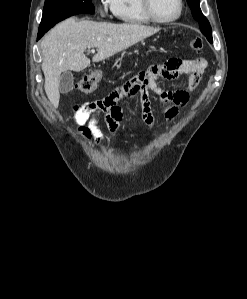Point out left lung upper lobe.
Wrapping results in <instances>:
<instances>
[{
	"label": "left lung upper lobe",
	"instance_id": "left-lung-upper-lobe-1",
	"mask_svg": "<svg viewBox=\"0 0 247 299\" xmlns=\"http://www.w3.org/2000/svg\"><path fill=\"white\" fill-rule=\"evenodd\" d=\"M200 0H187L193 17L199 22L201 32L206 36L210 43H213L212 29L207 18L203 15L200 6Z\"/></svg>",
	"mask_w": 247,
	"mask_h": 299
}]
</instances>
